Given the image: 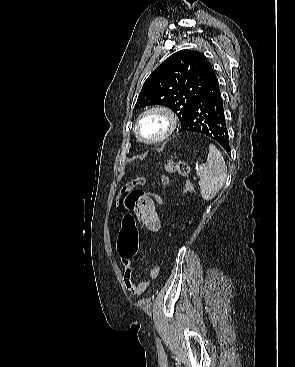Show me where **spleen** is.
<instances>
[{"mask_svg":"<svg viewBox=\"0 0 295 367\" xmlns=\"http://www.w3.org/2000/svg\"><path fill=\"white\" fill-rule=\"evenodd\" d=\"M202 198L212 200L223 187L227 178V167L221 152L214 144L209 145L207 161L197 169Z\"/></svg>","mask_w":295,"mask_h":367,"instance_id":"1","label":"spleen"}]
</instances>
